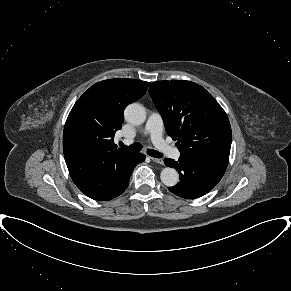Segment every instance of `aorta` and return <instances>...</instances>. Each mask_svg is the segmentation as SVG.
I'll return each instance as SVG.
<instances>
[{"instance_id":"1","label":"aorta","mask_w":291,"mask_h":291,"mask_svg":"<svg viewBox=\"0 0 291 291\" xmlns=\"http://www.w3.org/2000/svg\"><path fill=\"white\" fill-rule=\"evenodd\" d=\"M125 120L133 125H141L146 119V111L143 106L138 103L129 104L124 112ZM161 181L168 187L175 186L179 181L178 172L170 167H166L161 171Z\"/></svg>"}]
</instances>
